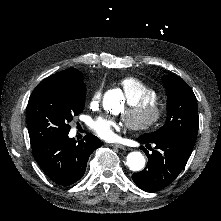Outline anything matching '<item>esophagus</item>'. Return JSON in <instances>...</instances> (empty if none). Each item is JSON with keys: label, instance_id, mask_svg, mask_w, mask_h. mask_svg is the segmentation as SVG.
I'll return each mask as SVG.
<instances>
[{"label": "esophagus", "instance_id": "34e87169", "mask_svg": "<svg viewBox=\"0 0 221 221\" xmlns=\"http://www.w3.org/2000/svg\"><path fill=\"white\" fill-rule=\"evenodd\" d=\"M110 147H114V148H118V149H125V146L121 145V144H117V143H112L109 144Z\"/></svg>", "mask_w": 221, "mask_h": 221}]
</instances>
